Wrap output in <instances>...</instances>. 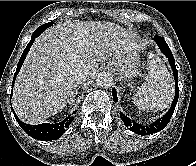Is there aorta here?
Wrapping results in <instances>:
<instances>
[{"mask_svg": "<svg viewBox=\"0 0 196 166\" xmlns=\"http://www.w3.org/2000/svg\"><path fill=\"white\" fill-rule=\"evenodd\" d=\"M114 78L110 72H101L98 74L96 83L100 88H109L113 85Z\"/></svg>", "mask_w": 196, "mask_h": 166, "instance_id": "obj_1", "label": "aorta"}]
</instances>
